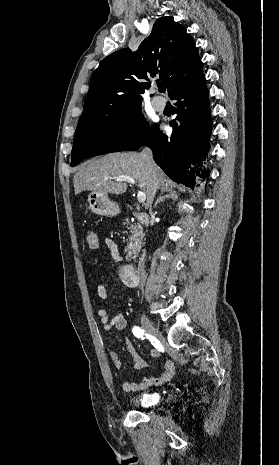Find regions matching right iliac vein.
Here are the masks:
<instances>
[{"label": "right iliac vein", "mask_w": 279, "mask_h": 465, "mask_svg": "<svg viewBox=\"0 0 279 465\" xmlns=\"http://www.w3.org/2000/svg\"><path fill=\"white\" fill-rule=\"evenodd\" d=\"M140 320H141L142 327L144 328L147 334L155 338L160 337L158 330L155 328L153 323L150 321V319L145 314L141 315Z\"/></svg>", "instance_id": "obj_1"}]
</instances>
